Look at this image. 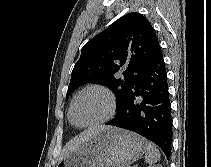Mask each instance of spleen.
<instances>
[{
	"mask_svg": "<svg viewBox=\"0 0 211 167\" xmlns=\"http://www.w3.org/2000/svg\"><path fill=\"white\" fill-rule=\"evenodd\" d=\"M160 153L157 147L150 143L146 142V150H145V161L148 164H154L160 160Z\"/></svg>",
	"mask_w": 211,
	"mask_h": 167,
	"instance_id": "1",
	"label": "spleen"
}]
</instances>
